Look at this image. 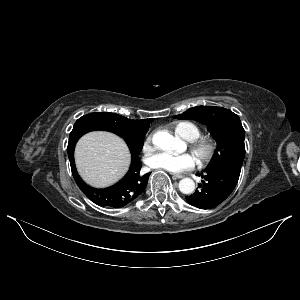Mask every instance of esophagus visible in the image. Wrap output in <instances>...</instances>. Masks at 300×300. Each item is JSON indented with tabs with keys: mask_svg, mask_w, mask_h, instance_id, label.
Masks as SVG:
<instances>
[{
	"mask_svg": "<svg viewBox=\"0 0 300 300\" xmlns=\"http://www.w3.org/2000/svg\"><path fill=\"white\" fill-rule=\"evenodd\" d=\"M183 177L184 176L182 174H173V178H176V179H181Z\"/></svg>",
	"mask_w": 300,
	"mask_h": 300,
	"instance_id": "esophagus-1",
	"label": "esophagus"
}]
</instances>
